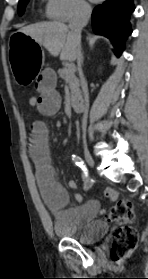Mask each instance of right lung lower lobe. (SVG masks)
I'll return each mask as SVG.
<instances>
[{"mask_svg":"<svg viewBox=\"0 0 148 279\" xmlns=\"http://www.w3.org/2000/svg\"><path fill=\"white\" fill-rule=\"evenodd\" d=\"M134 9L133 0H107L93 10L94 32L112 41L118 57L124 50L125 40L132 33L129 19Z\"/></svg>","mask_w":148,"mask_h":279,"instance_id":"right-lung-lower-lobe-1","label":"right lung lower lobe"}]
</instances>
